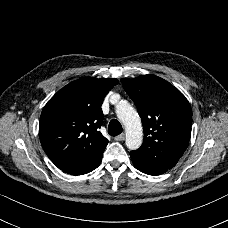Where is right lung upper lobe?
Masks as SVG:
<instances>
[{"mask_svg": "<svg viewBox=\"0 0 228 228\" xmlns=\"http://www.w3.org/2000/svg\"><path fill=\"white\" fill-rule=\"evenodd\" d=\"M118 84L115 78L84 77L59 90L45 105L39 137L50 160L61 170L79 167L103 152L108 140L103 123L104 97Z\"/></svg>", "mask_w": 228, "mask_h": 228, "instance_id": "cb5924a9", "label": "right lung upper lobe"}]
</instances>
